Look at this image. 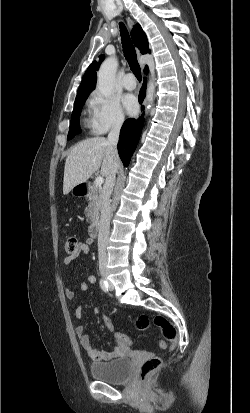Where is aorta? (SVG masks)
Listing matches in <instances>:
<instances>
[{
  "mask_svg": "<svg viewBox=\"0 0 250 413\" xmlns=\"http://www.w3.org/2000/svg\"><path fill=\"white\" fill-rule=\"evenodd\" d=\"M118 63L113 57L107 58L100 66L97 74V87L103 96L108 97L112 94L115 85V73ZM155 86L149 82L146 93V111H149L154 99Z\"/></svg>",
  "mask_w": 250,
  "mask_h": 413,
  "instance_id": "762f6f07",
  "label": "aorta"
}]
</instances>
